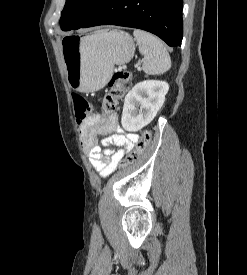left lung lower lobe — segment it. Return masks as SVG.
Listing matches in <instances>:
<instances>
[{"mask_svg": "<svg viewBox=\"0 0 247 275\" xmlns=\"http://www.w3.org/2000/svg\"><path fill=\"white\" fill-rule=\"evenodd\" d=\"M182 4L183 0H105L79 28L98 25L139 28L157 35L169 46H181Z\"/></svg>", "mask_w": 247, "mask_h": 275, "instance_id": "1", "label": "left lung lower lobe"}]
</instances>
